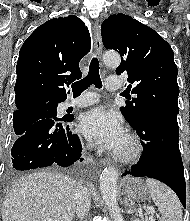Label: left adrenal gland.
<instances>
[{
  "label": "left adrenal gland",
  "instance_id": "left-adrenal-gland-1",
  "mask_svg": "<svg viewBox=\"0 0 190 221\" xmlns=\"http://www.w3.org/2000/svg\"><path fill=\"white\" fill-rule=\"evenodd\" d=\"M124 205H125V207H129L130 210L133 209L132 206L129 204V202H128L126 197L124 198Z\"/></svg>",
  "mask_w": 190,
  "mask_h": 221
}]
</instances>
